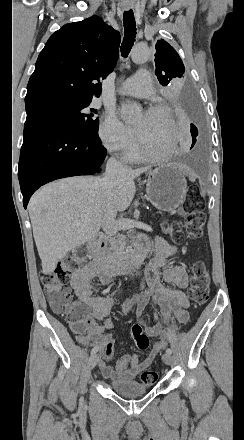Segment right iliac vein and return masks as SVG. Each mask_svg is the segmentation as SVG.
<instances>
[{
	"instance_id": "right-iliac-vein-1",
	"label": "right iliac vein",
	"mask_w": 244,
	"mask_h": 440,
	"mask_svg": "<svg viewBox=\"0 0 244 440\" xmlns=\"http://www.w3.org/2000/svg\"><path fill=\"white\" fill-rule=\"evenodd\" d=\"M98 361H99L98 354H93L89 359L90 368L93 369L97 365Z\"/></svg>"
}]
</instances>
